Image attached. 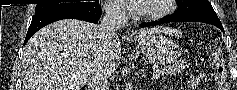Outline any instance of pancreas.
Returning <instances> with one entry per match:
<instances>
[{
    "label": "pancreas",
    "instance_id": "cf45deb5",
    "mask_svg": "<svg viewBox=\"0 0 237 90\" xmlns=\"http://www.w3.org/2000/svg\"><path fill=\"white\" fill-rule=\"evenodd\" d=\"M187 65L182 64V62H177V64H164V74H181V72H186ZM161 71V68H158ZM155 76V74H154Z\"/></svg>",
    "mask_w": 237,
    "mask_h": 90
}]
</instances>
